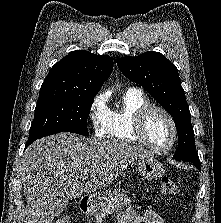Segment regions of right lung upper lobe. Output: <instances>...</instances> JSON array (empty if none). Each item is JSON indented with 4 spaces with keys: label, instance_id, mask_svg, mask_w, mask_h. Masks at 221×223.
<instances>
[{
    "label": "right lung upper lobe",
    "instance_id": "obj_1",
    "mask_svg": "<svg viewBox=\"0 0 221 223\" xmlns=\"http://www.w3.org/2000/svg\"><path fill=\"white\" fill-rule=\"evenodd\" d=\"M113 60L88 51L70 52L50 69L38 101L75 96L94 97L110 76Z\"/></svg>",
    "mask_w": 221,
    "mask_h": 223
}]
</instances>
